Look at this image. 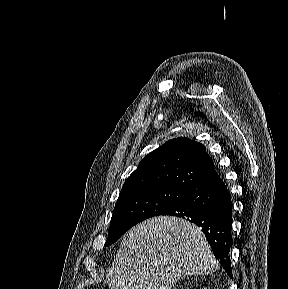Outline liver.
<instances>
[{
    "instance_id": "1",
    "label": "liver",
    "mask_w": 288,
    "mask_h": 289,
    "mask_svg": "<svg viewBox=\"0 0 288 289\" xmlns=\"http://www.w3.org/2000/svg\"><path fill=\"white\" fill-rule=\"evenodd\" d=\"M217 268L200 227L158 216L124 235L106 276L111 289H170L186 275H208Z\"/></svg>"
}]
</instances>
